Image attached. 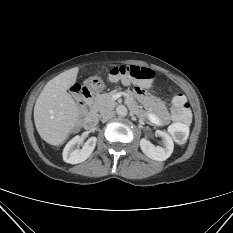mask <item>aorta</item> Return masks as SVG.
Masks as SVG:
<instances>
[{
	"label": "aorta",
	"mask_w": 233,
	"mask_h": 233,
	"mask_svg": "<svg viewBox=\"0 0 233 233\" xmlns=\"http://www.w3.org/2000/svg\"><path fill=\"white\" fill-rule=\"evenodd\" d=\"M116 112L119 116L121 117H124L127 115V108L124 106V105H119L117 108H116Z\"/></svg>",
	"instance_id": "aorta-1"
}]
</instances>
